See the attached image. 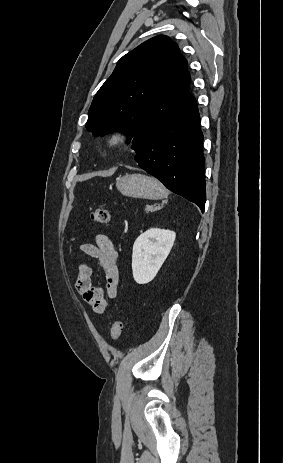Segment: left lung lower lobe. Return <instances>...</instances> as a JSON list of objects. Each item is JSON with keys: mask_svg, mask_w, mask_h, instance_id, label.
<instances>
[{"mask_svg": "<svg viewBox=\"0 0 283 463\" xmlns=\"http://www.w3.org/2000/svg\"><path fill=\"white\" fill-rule=\"evenodd\" d=\"M203 134L195 98L161 125L134 159L169 190L197 204L206 200Z\"/></svg>", "mask_w": 283, "mask_h": 463, "instance_id": "1", "label": "left lung lower lobe"}]
</instances>
